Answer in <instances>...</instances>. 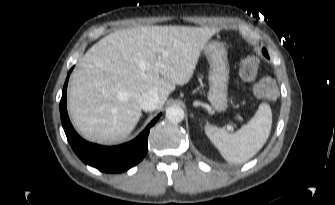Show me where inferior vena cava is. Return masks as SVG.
<instances>
[{
  "label": "inferior vena cava",
  "instance_id": "602c4592",
  "mask_svg": "<svg viewBox=\"0 0 335 205\" xmlns=\"http://www.w3.org/2000/svg\"><path fill=\"white\" fill-rule=\"evenodd\" d=\"M139 104L144 111H153L158 108L159 95L155 90L144 92L139 98Z\"/></svg>",
  "mask_w": 335,
  "mask_h": 205
}]
</instances>
